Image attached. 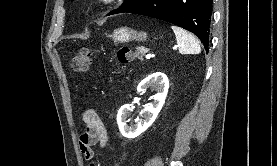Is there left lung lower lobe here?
Wrapping results in <instances>:
<instances>
[{"label": "left lung lower lobe", "instance_id": "obj_1", "mask_svg": "<svg viewBox=\"0 0 277 166\" xmlns=\"http://www.w3.org/2000/svg\"><path fill=\"white\" fill-rule=\"evenodd\" d=\"M125 12L164 20L191 31L208 52L212 0H143Z\"/></svg>", "mask_w": 277, "mask_h": 166}]
</instances>
